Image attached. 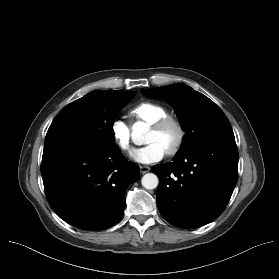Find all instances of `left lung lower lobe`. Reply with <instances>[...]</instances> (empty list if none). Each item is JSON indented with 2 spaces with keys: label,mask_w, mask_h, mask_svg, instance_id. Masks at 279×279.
Returning <instances> with one entry per match:
<instances>
[{
  "label": "left lung lower lobe",
  "mask_w": 279,
  "mask_h": 279,
  "mask_svg": "<svg viewBox=\"0 0 279 279\" xmlns=\"http://www.w3.org/2000/svg\"><path fill=\"white\" fill-rule=\"evenodd\" d=\"M157 205L171 224L197 228L216 219L226 207L238 180V150L235 140L199 144L158 164Z\"/></svg>",
  "instance_id": "left-lung-lower-lobe-1"
}]
</instances>
